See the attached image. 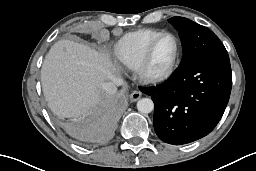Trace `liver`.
<instances>
[{
    "label": "liver",
    "instance_id": "liver-1",
    "mask_svg": "<svg viewBox=\"0 0 256 171\" xmlns=\"http://www.w3.org/2000/svg\"><path fill=\"white\" fill-rule=\"evenodd\" d=\"M118 70L104 53L70 40L56 42L41 69L48 106L59 118L82 115L103 100V84L117 79Z\"/></svg>",
    "mask_w": 256,
    "mask_h": 171
}]
</instances>
